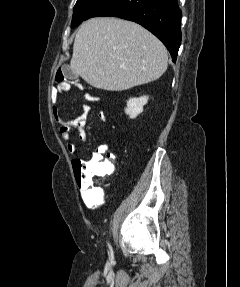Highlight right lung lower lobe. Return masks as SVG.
Masks as SVG:
<instances>
[{
    "label": "right lung lower lobe",
    "mask_w": 240,
    "mask_h": 287,
    "mask_svg": "<svg viewBox=\"0 0 240 287\" xmlns=\"http://www.w3.org/2000/svg\"><path fill=\"white\" fill-rule=\"evenodd\" d=\"M134 21L158 37L176 61L181 42V17L177 0H107L94 14Z\"/></svg>",
    "instance_id": "right-lung-lower-lobe-1"
}]
</instances>
